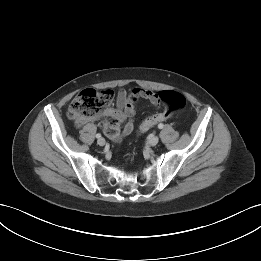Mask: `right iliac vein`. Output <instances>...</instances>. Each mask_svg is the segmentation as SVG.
<instances>
[{"mask_svg":"<svg viewBox=\"0 0 261 261\" xmlns=\"http://www.w3.org/2000/svg\"><path fill=\"white\" fill-rule=\"evenodd\" d=\"M98 145L104 146L105 145V139L104 138H99L97 141Z\"/></svg>","mask_w":261,"mask_h":261,"instance_id":"obj_1","label":"right iliac vein"}]
</instances>
